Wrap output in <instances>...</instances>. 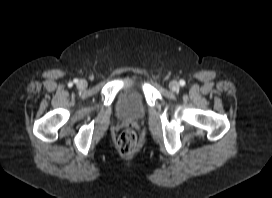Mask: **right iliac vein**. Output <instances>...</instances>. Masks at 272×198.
<instances>
[{
	"label": "right iliac vein",
	"instance_id": "1",
	"mask_svg": "<svg viewBox=\"0 0 272 198\" xmlns=\"http://www.w3.org/2000/svg\"><path fill=\"white\" fill-rule=\"evenodd\" d=\"M77 85L80 88H85L87 86V82L85 80H80Z\"/></svg>",
	"mask_w": 272,
	"mask_h": 198
}]
</instances>
